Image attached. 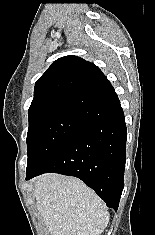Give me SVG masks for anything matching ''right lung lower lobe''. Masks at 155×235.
<instances>
[{
  "label": "right lung lower lobe",
  "mask_w": 155,
  "mask_h": 235,
  "mask_svg": "<svg viewBox=\"0 0 155 235\" xmlns=\"http://www.w3.org/2000/svg\"><path fill=\"white\" fill-rule=\"evenodd\" d=\"M86 95L99 118L73 135L44 166L26 173V180L48 172L75 176L117 210L126 161L124 113L109 81L94 85Z\"/></svg>",
  "instance_id": "obj_1"
}]
</instances>
